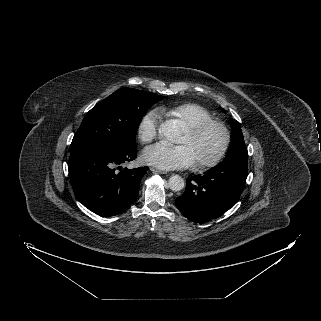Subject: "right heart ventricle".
I'll list each match as a JSON object with an SVG mask.
<instances>
[{
	"mask_svg": "<svg viewBox=\"0 0 321 321\" xmlns=\"http://www.w3.org/2000/svg\"><path fill=\"white\" fill-rule=\"evenodd\" d=\"M167 113L170 116L182 121L186 127L212 118V114L205 107L193 102L174 106L168 109Z\"/></svg>",
	"mask_w": 321,
	"mask_h": 321,
	"instance_id": "right-heart-ventricle-1",
	"label": "right heart ventricle"
}]
</instances>
